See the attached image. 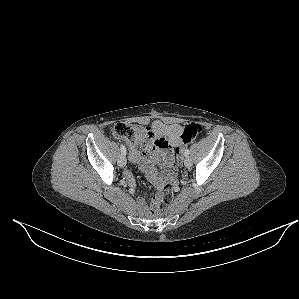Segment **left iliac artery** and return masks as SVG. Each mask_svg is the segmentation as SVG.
<instances>
[{
    "mask_svg": "<svg viewBox=\"0 0 299 299\" xmlns=\"http://www.w3.org/2000/svg\"><path fill=\"white\" fill-rule=\"evenodd\" d=\"M189 154H190V150H189V149H186L185 152H184V155H185L186 157H188Z\"/></svg>",
    "mask_w": 299,
    "mask_h": 299,
    "instance_id": "44dca946",
    "label": "left iliac artery"
}]
</instances>
